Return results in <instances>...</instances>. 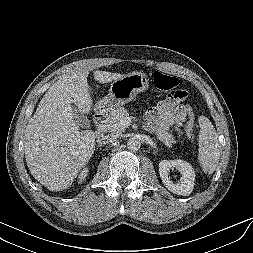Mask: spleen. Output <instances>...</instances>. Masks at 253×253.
Returning <instances> with one entry per match:
<instances>
[{
    "label": "spleen",
    "mask_w": 253,
    "mask_h": 253,
    "mask_svg": "<svg viewBox=\"0 0 253 253\" xmlns=\"http://www.w3.org/2000/svg\"><path fill=\"white\" fill-rule=\"evenodd\" d=\"M199 148L198 163L206 174H212L220 159V144L218 135L210 120L199 116Z\"/></svg>",
    "instance_id": "spleen-1"
}]
</instances>
